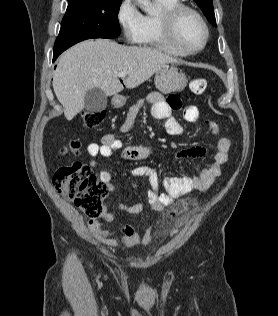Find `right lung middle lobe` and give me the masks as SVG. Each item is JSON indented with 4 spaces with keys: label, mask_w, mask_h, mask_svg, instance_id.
<instances>
[{
    "label": "right lung middle lobe",
    "mask_w": 278,
    "mask_h": 316,
    "mask_svg": "<svg viewBox=\"0 0 278 316\" xmlns=\"http://www.w3.org/2000/svg\"><path fill=\"white\" fill-rule=\"evenodd\" d=\"M122 0H68L54 52L89 38H115L120 34L118 12Z\"/></svg>",
    "instance_id": "obj_1"
}]
</instances>
